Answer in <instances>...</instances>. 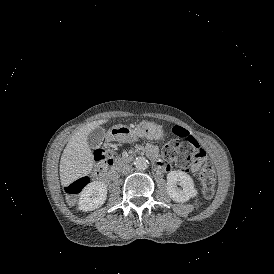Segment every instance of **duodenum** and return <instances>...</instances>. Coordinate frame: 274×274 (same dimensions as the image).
Instances as JSON below:
<instances>
[{
    "instance_id": "410a0bca",
    "label": "duodenum",
    "mask_w": 274,
    "mask_h": 274,
    "mask_svg": "<svg viewBox=\"0 0 274 274\" xmlns=\"http://www.w3.org/2000/svg\"><path fill=\"white\" fill-rule=\"evenodd\" d=\"M94 157L100 167L109 170L111 175L116 174L119 163L114 162L110 157L100 151L96 152ZM153 165L159 171L170 170L169 166L165 165L162 161L156 158H153Z\"/></svg>"
}]
</instances>
